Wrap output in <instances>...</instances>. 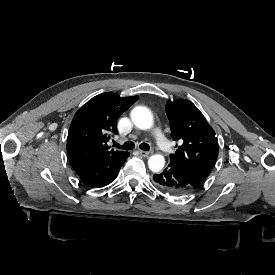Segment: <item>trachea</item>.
<instances>
[{
    "label": "trachea",
    "mask_w": 275,
    "mask_h": 275,
    "mask_svg": "<svg viewBox=\"0 0 275 275\" xmlns=\"http://www.w3.org/2000/svg\"><path fill=\"white\" fill-rule=\"evenodd\" d=\"M114 146L119 148V149H124V150H132L134 149L135 145L131 141L125 142L122 146H120L117 143H114ZM139 148L142 149L143 151H148L150 150V146L147 143H142L139 145Z\"/></svg>",
    "instance_id": "3493384b"
}]
</instances>
